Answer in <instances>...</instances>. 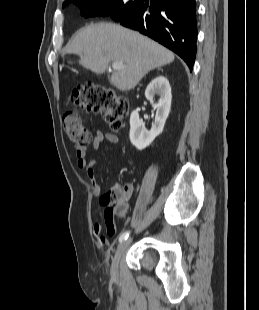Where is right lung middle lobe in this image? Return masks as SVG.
Returning <instances> with one entry per match:
<instances>
[{
  "instance_id": "obj_1",
  "label": "right lung middle lobe",
  "mask_w": 259,
  "mask_h": 310,
  "mask_svg": "<svg viewBox=\"0 0 259 310\" xmlns=\"http://www.w3.org/2000/svg\"><path fill=\"white\" fill-rule=\"evenodd\" d=\"M70 2L81 4V14L86 17L110 15L115 21L120 20L137 5V0L129 2L124 0H97L93 2L74 0L64 3L62 7H66Z\"/></svg>"
}]
</instances>
